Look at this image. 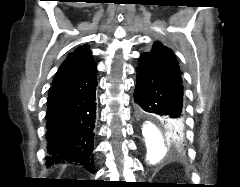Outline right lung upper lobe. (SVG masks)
<instances>
[{"mask_svg":"<svg viewBox=\"0 0 240 187\" xmlns=\"http://www.w3.org/2000/svg\"><path fill=\"white\" fill-rule=\"evenodd\" d=\"M95 65L91 57V51L87 46H80L74 52L69 54L67 59L60 66L53 83L76 73L80 70Z\"/></svg>","mask_w":240,"mask_h":187,"instance_id":"right-lung-upper-lobe-1","label":"right lung upper lobe"}]
</instances>
